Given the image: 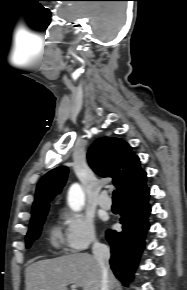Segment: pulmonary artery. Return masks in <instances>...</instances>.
<instances>
[{"label":"pulmonary artery","instance_id":"e3ab8cb5","mask_svg":"<svg viewBox=\"0 0 187 290\" xmlns=\"http://www.w3.org/2000/svg\"><path fill=\"white\" fill-rule=\"evenodd\" d=\"M98 205L105 210H109L112 207V203L106 192L100 194L98 199Z\"/></svg>","mask_w":187,"mask_h":290}]
</instances>
